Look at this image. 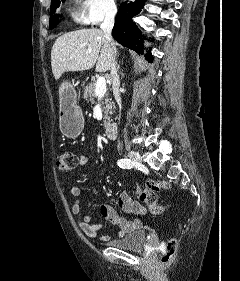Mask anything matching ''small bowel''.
Masks as SVG:
<instances>
[{
    "instance_id": "small-bowel-1",
    "label": "small bowel",
    "mask_w": 240,
    "mask_h": 281,
    "mask_svg": "<svg viewBox=\"0 0 240 281\" xmlns=\"http://www.w3.org/2000/svg\"><path fill=\"white\" fill-rule=\"evenodd\" d=\"M89 163V157L86 154L80 155L78 158V167L84 168ZM70 193L73 197V204L71 207L72 214L77 217V224L81 231L90 238H99L101 240H107L106 235H99V231L102 229V223H92L90 216H80L81 213V190L77 186H73L70 189ZM118 205L125 213L144 215L146 213L145 207L138 201L134 200L130 192L125 190L120 193L118 197ZM99 212L101 217L111 224L119 227L118 236L123 237L126 234L141 227L142 223L139 219L128 220L120 216L117 211L109 204L102 203L99 205Z\"/></svg>"
}]
</instances>
